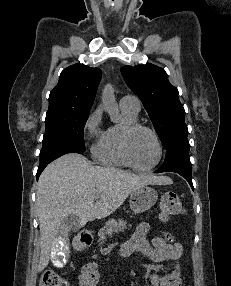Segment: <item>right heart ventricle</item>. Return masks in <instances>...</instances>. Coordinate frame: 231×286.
I'll list each match as a JSON object with an SVG mask.
<instances>
[{
	"mask_svg": "<svg viewBox=\"0 0 231 286\" xmlns=\"http://www.w3.org/2000/svg\"><path fill=\"white\" fill-rule=\"evenodd\" d=\"M121 124L107 128L94 147L93 156L101 164L111 167L128 168L121 149V134L126 125L138 122V113L122 109Z\"/></svg>",
	"mask_w": 231,
	"mask_h": 286,
	"instance_id": "e07e8e85",
	"label": "right heart ventricle"
}]
</instances>
